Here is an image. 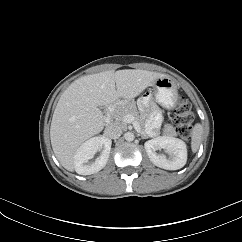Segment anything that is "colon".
I'll return each instance as SVG.
<instances>
[{"instance_id":"colon-1","label":"colon","mask_w":242,"mask_h":242,"mask_svg":"<svg viewBox=\"0 0 242 242\" xmlns=\"http://www.w3.org/2000/svg\"><path fill=\"white\" fill-rule=\"evenodd\" d=\"M174 125L177 133L182 137H190L193 129V116L189 101L180 97L176 102Z\"/></svg>"}]
</instances>
